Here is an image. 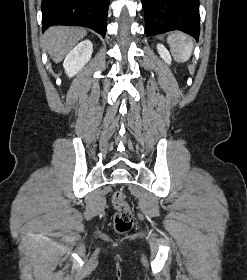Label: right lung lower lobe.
I'll return each mask as SVG.
<instances>
[{
  "label": "right lung lower lobe",
  "mask_w": 247,
  "mask_h": 280,
  "mask_svg": "<svg viewBox=\"0 0 247 280\" xmlns=\"http://www.w3.org/2000/svg\"><path fill=\"white\" fill-rule=\"evenodd\" d=\"M109 0H42V31L57 24L82 25L105 37Z\"/></svg>",
  "instance_id": "1"
}]
</instances>
